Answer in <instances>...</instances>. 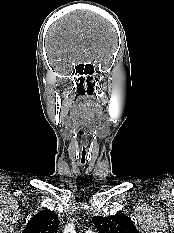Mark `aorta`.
<instances>
[{
  "mask_svg": "<svg viewBox=\"0 0 174 233\" xmlns=\"http://www.w3.org/2000/svg\"><path fill=\"white\" fill-rule=\"evenodd\" d=\"M64 233H76L74 225L72 223H69L65 226Z\"/></svg>",
  "mask_w": 174,
  "mask_h": 233,
  "instance_id": "obj_1",
  "label": "aorta"
}]
</instances>
